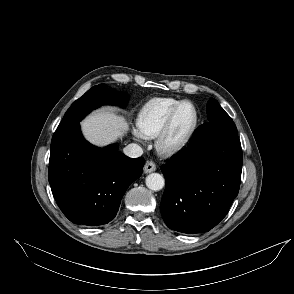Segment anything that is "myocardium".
<instances>
[{"label": "myocardium", "mask_w": 294, "mask_h": 294, "mask_svg": "<svg viewBox=\"0 0 294 294\" xmlns=\"http://www.w3.org/2000/svg\"><path fill=\"white\" fill-rule=\"evenodd\" d=\"M189 104L193 107L195 117L193 124L185 134V136L179 140L172 142L170 141V134L172 132L176 117L181 110V108ZM199 120H200V115H199V110L197 106L190 100H183L181 101L169 114L167 117L165 123L159 130L158 134L156 135V141H155V146L156 149L159 153L166 155V156H171L180 153L183 151L190 143L191 139L193 138L197 127L199 125Z\"/></svg>", "instance_id": "obj_1"}]
</instances>
